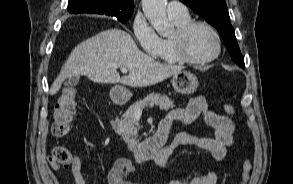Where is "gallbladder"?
Here are the masks:
<instances>
[{
	"label": "gallbladder",
	"instance_id": "bac80fb5",
	"mask_svg": "<svg viewBox=\"0 0 293 184\" xmlns=\"http://www.w3.org/2000/svg\"><path fill=\"white\" fill-rule=\"evenodd\" d=\"M79 76H73V77H71L70 79H69V85H71V86H75V85H77V83L79 82Z\"/></svg>",
	"mask_w": 293,
	"mask_h": 184
}]
</instances>
